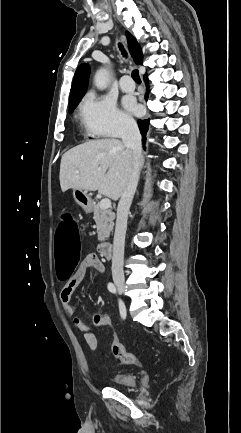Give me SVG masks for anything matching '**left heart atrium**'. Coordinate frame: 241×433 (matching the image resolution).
<instances>
[{"label":"left heart atrium","instance_id":"1","mask_svg":"<svg viewBox=\"0 0 241 433\" xmlns=\"http://www.w3.org/2000/svg\"><path fill=\"white\" fill-rule=\"evenodd\" d=\"M123 105H124L125 109L130 111V112L135 113L138 110V106L136 105L135 101L130 97H125L123 99Z\"/></svg>","mask_w":241,"mask_h":433}]
</instances>
